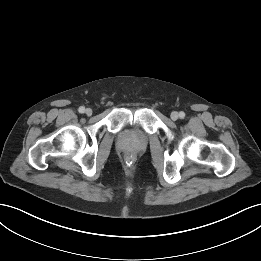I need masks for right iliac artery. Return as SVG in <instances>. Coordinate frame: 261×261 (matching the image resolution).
Listing matches in <instances>:
<instances>
[{"label": "right iliac artery", "instance_id": "82829eb1", "mask_svg": "<svg viewBox=\"0 0 261 261\" xmlns=\"http://www.w3.org/2000/svg\"><path fill=\"white\" fill-rule=\"evenodd\" d=\"M78 111H79L80 113H84V112H85V108H84L83 106H81V107H79Z\"/></svg>", "mask_w": 261, "mask_h": 261}]
</instances>
